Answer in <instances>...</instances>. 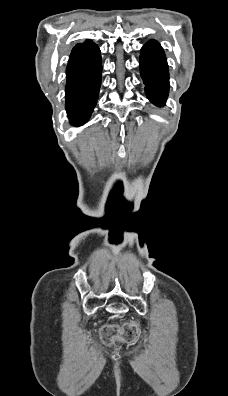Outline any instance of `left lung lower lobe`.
I'll list each match as a JSON object with an SVG mask.
<instances>
[{
    "label": "left lung lower lobe",
    "instance_id": "obj_1",
    "mask_svg": "<svg viewBox=\"0 0 228 396\" xmlns=\"http://www.w3.org/2000/svg\"><path fill=\"white\" fill-rule=\"evenodd\" d=\"M140 71L148 99L157 106L164 105L169 91V72L158 42L151 40L142 47Z\"/></svg>",
    "mask_w": 228,
    "mask_h": 396
}]
</instances>
